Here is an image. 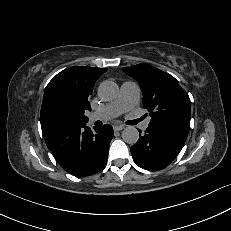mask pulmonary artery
I'll return each mask as SVG.
<instances>
[{
	"label": "pulmonary artery",
	"mask_w": 231,
	"mask_h": 231,
	"mask_svg": "<svg viewBox=\"0 0 231 231\" xmlns=\"http://www.w3.org/2000/svg\"><path fill=\"white\" fill-rule=\"evenodd\" d=\"M140 96V89L136 82L125 81L121 84L118 96L111 102L107 103L100 109L90 114V121H107L120 114L133 109ZM149 126V120L141 124V129L146 130Z\"/></svg>",
	"instance_id": "pulmonary-artery-1"
}]
</instances>
